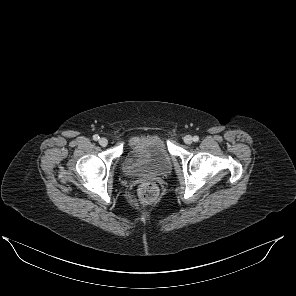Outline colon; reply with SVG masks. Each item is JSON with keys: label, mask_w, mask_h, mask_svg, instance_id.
Here are the masks:
<instances>
[{"label": "colon", "mask_w": 296, "mask_h": 296, "mask_svg": "<svg viewBox=\"0 0 296 296\" xmlns=\"http://www.w3.org/2000/svg\"><path fill=\"white\" fill-rule=\"evenodd\" d=\"M158 187L154 183H144L139 186L135 194V202L140 205L153 203L158 197Z\"/></svg>", "instance_id": "1"}]
</instances>
